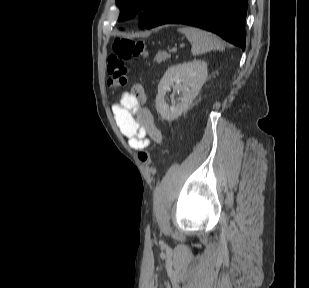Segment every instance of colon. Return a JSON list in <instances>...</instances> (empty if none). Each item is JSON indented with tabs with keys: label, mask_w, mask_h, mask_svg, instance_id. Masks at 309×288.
I'll return each instance as SVG.
<instances>
[{
	"label": "colon",
	"mask_w": 309,
	"mask_h": 288,
	"mask_svg": "<svg viewBox=\"0 0 309 288\" xmlns=\"http://www.w3.org/2000/svg\"><path fill=\"white\" fill-rule=\"evenodd\" d=\"M148 56L146 45L141 40L118 39L113 46V53L107 60L108 85L112 88L124 87L128 83V69L125 61L136 56ZM138 159L150 165L151 156L148 149H142L138 153Z\"/></svg>",
	"instance_id": "colon-1"
}]
</instances>
